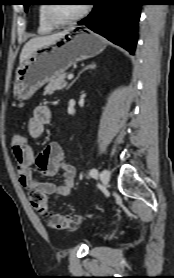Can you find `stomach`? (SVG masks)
Listing matches in <instances>:
<instances>
[{
    "label": "stomach",
    "instance_id": "stomach-1",
    "mask_svg": "<svg viewBox=\"0 0 174 278\" xmlns=\"http://www.w3.org/2000/svg\"><path fill=\"white\" fill-rule=\"evenodd\" d=\"M106 41L89 31L67 33L54 43L36 49L16 70L14 95L30 98L51 79L79 61L94 57L106 48Z\"/></svg>",
    "mask_w": 174,
    "mask_h": 278
}]
</instances>
